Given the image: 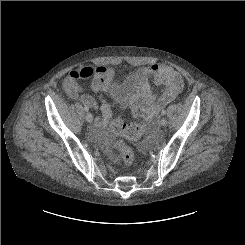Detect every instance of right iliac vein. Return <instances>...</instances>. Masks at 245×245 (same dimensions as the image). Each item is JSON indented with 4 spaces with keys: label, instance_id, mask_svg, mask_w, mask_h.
Returning <instances> with one entry per match:
<instances>
[{
    "label": "right iliac vein",
    "instance_id": "63e3f726",
    "mask_svg": "<svg viewBox=\"0 0 245 245\" xmlns=\"http://www.w3.org/2000/svg\"><path fill=\"white\" fill-rule=\"evenodd\" d=\"M85 119L88 123H91L92 120H93V116L91 113H87L86 116H85Z\"/></svg>",
    "mask_w": 245,
    "mask_h": 245
}]
</instances>
